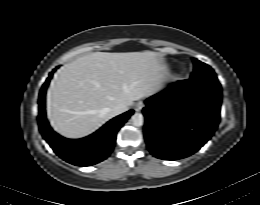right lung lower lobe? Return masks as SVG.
Returning a JSON list of instances; mask_svg holds the SVG:
<instances>
[{"label": "right lung lower lobe", "mask_w": 260, "mask_h": 205, "mask_svg": "<svg viewBox=\"0 0 260 205\" xmlns=\"http://www.w3.org/2000/svg\"><path fill=\"white\" fill-rule=\"evenodd\" d=\"M52 75L53 72L49 74L39 94L38 120L43 138L59 157L73 165L90 166L103 161L113 150L117 131L133 114V110L113 118L85 138L75 140L63 138L51 129L45 115V93Z\"/></svg>", "instance_id": "obj_1"}]
</instances>
